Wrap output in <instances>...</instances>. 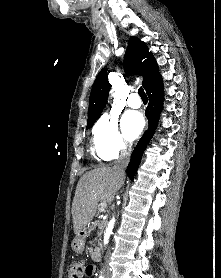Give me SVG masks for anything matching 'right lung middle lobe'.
I'll return each instance as SVG.
<instances>
[{
  "instance_id": "obj_1",
  "label": "right lung middle lobe",
  "mask_w": 221,
  "mask_h": 278,
  "mask_svg": "<svg viewBox=\"0 0 221 278\" xmlns=\"http://www.w3.org/2000/svg\"><path fill=\"white\" fill-rule=\"evenodd\" d=\"M93 126V124H89L87 125V128H91Z\"/></svg>"
}]
</instances>
